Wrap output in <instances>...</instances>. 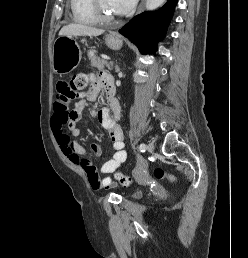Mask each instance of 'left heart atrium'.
Wrapping results in <instances>:
<instances>
[{
	"label": "left heart atrium",
	"mask_w": 248,
	"mask_h": 258,
	"mask_svg": "<svg viewBox=\"0 0 248 258\" xmlns=\"http://www.w3.org/2000/svg\"><path fill=\"white\" fill-rule=\"evenodd\" d=\"M111 9L119 15L128 13L135 5L136 0H109Z\"/></svg>",
	"instance_id": "1"
}]
</instances>
